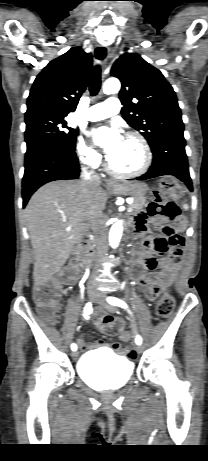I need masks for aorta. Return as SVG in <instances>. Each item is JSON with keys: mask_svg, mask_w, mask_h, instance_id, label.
<instances>
[{"mask_svg": "<svg viewBox=\"0 0 208 461\" xmlns=\"http://www.w3.org/2000/svg\"><path fill=\"white\" fill-rule=\"evenodd\" d=\"M121 88L120 81L116 78H110L103 85V92L111 95L118 93ZM123 225L121 220H116L109 232V244L112 248H117L122 236Z\"/></svg>", "mask_w": 208, "mask_h": 461, "instance_id": "1", "label": "aorta"}]
</instances>
